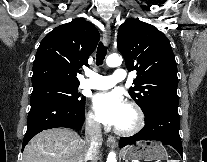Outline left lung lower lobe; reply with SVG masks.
<instances>
[{
  "instance_id": "1",
  "label": "left lung lower lobe",
  "mask_w": 207,
  "mask_h": 162,
  "mask_svg": "<svg viewBox=\"0 0 207 162\" xmlns=\"http://www.w3.org/2000/svg\"><path fill=\"white\" fill-rule=\"evenodd\" d=\"M178 102L155 103L145 115L146 125L131 137H122L120 148L140 140H156L175 148L182 156L183 149L179 135Z\"/></svg>"
}]
</instances>
